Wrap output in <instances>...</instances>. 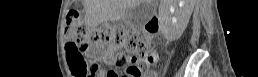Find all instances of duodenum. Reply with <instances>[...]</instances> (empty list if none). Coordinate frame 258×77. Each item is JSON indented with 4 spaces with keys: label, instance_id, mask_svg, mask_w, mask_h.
Listing matches in <instances>:
<instances>
[{
    "label": "duodenum",
    "instance_id": "1",
    "mask_svg": "<svg viewBox=\"0 0 258 77\" xmlns=\"http://www.w3.org/2000/svg\"><path fill=\"white\" fill-rule=\"evenodd\" d=\"M157 21L156 19H152L149 23H148V30L150 33H156L157 32Z\"/></svg>",
    "mask_w": 258,
    "mask_h": 77
}]
</instances>
